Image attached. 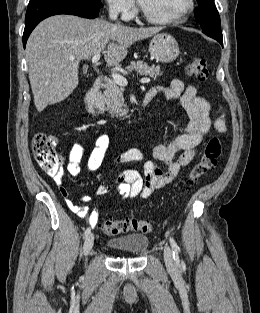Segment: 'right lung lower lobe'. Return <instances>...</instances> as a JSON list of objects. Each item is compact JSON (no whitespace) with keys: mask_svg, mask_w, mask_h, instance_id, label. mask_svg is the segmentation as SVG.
Masks as SVG:
<instances>
[{"mask_svg":"<svg viewBox=\"0 0 260 313\" xmlns=\"http://www.w3.org/2000/svg\"><path fill=\"white\" fill-rule=\"evenodd\" d=\"M100 8L101 6L77 0H30L25 17L24 48L30 33L43 19L58 14L96 18Z\"/></svg>","mask_w":260,"mask_h":313,"instance_id":"1","label":"right lung lower lobe"}]
</instances>
